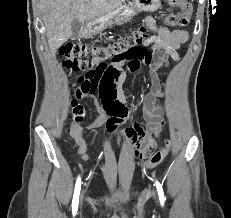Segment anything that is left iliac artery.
<instances>
[{
	"label": "left iliac artery",
	"instance_id": "1",
	"mask_svg": "<svg viewBox=\"0 0 231 218\" xmlns=\"http://www.w3.org/2000/svg\"><path fill=\"white\" fill-rule=\"evenodd\" d=\"M156 188H157V191H158V196H159V199H160V203L163 206L164 201H165L164 193H163L162 185L158 181H156Z\"/></svg>",
	"mask_w": 231,
	"mask_h": 218
}]
</instances>
